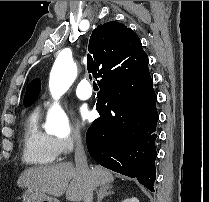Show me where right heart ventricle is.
<instances>
[{
    "instance_id": "1",
    "label": "right heart ventricle",
    "mask_w": 209,
    "mask_h": 202,
    "mask_svg": "<svg viewBox=\"0 0 209 202\" xmlns=\"http://www.w3.org/2000/svg\"><path fill=\"white\" fill-rule=\"evenodd\" d=\"M23 161L26 164L45 166L58 161L60 151L56 138L40 127L39 113L35 112L23 130Z\"/></svg>"
}]
</instances>
